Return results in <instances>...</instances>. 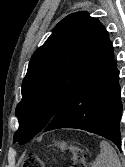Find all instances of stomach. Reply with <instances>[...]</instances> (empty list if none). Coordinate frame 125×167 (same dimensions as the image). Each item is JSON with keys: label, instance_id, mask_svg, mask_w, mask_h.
I'll return each instance as SVG.
<instances>
[{"label": "stomach", "instance_id": "obj_1", "mask_svg": "<svg viewBox=\"0 0 125 167\" xmlns=\"http://www.w3.org/2000/svg\"><path fill=\"white\" fill-rule=\"evenodd\" d=\"M58 146L61 148V150H65L67 148V144L65 142L58 143Z\"/></svg>", "mask_w": 125, "mask_h": 167}]
</instances>
